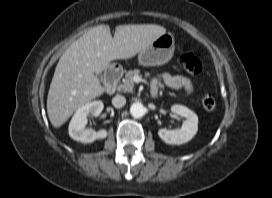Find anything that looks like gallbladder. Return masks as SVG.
<instances>
[{
    "instance_id": "obj_1",
    "label": "gallbladder",
    "mask_w": 272,
    "mask_h": 198,
    "mask_svg": "<svg viewBox=\"0 0 272 198\" xmlns=\"http://www.w3.org/2000/svg\"><path fill=\"white\" fill-rule=\"evenodd\" d=\"M97 77H98L99 79H101V78H102V76H101L100 74H97Z\"/></svg>"
}]
</instances>
